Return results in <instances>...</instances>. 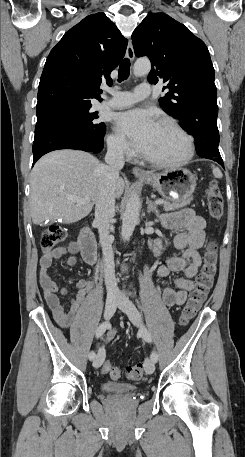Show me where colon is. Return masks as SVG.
I'll return each instance as SVG.
<instances>
[{
	"mask_svg": "<svg viewBox=\"0 0 245 457\" xmlns=\"http://www.w3.org/2000/svg\"><path fill=\"white\" fill-rule=\"evenodd\" d=\"M207 210L211 218L220 219L224 213L223 194L218 183L212 180L206 191ZM66 237L63 228L57 225H51L45 228L41 233V247L44 252H51L55 249ZM217 271V245L214 241H209L203 254V265L201 272L197 278L196 285L191 291V294L184 305L181 314L180 322L182 325L188 324L200 309L202 303L207 298V295L212 288L214 277ZM101 371L104 374H109L112 379L121 377V370L112 365L109 360H106ZM126 376L129 380L138 381L143 376L142 365L130 366L126 370Z\"/></svg>",
	"mask_w": 245,
	"mask_h": 457,
	"instance_id": "obj_1",
	"label": "colon"
}]
</instances>
